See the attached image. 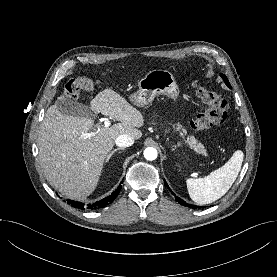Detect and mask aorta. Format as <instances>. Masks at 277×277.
<instances>
[{
    "label": "aorta",
    "instance_id": "aorta-1",
    "mask_svg": "<svg viewBox=\"0 0 277 277\" xmlns=\"http://www.w3.org/2000/svg\"><path fill=\"white\" fill-rule=\"evenodd\" d=\"M157 150L153 147H148L144 150V157L146 160H155L157 158Z\"/></svg>",
    "mask_w": 277,
    "mask_h": 277
}]
</instances>
